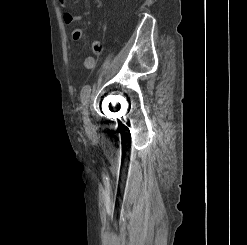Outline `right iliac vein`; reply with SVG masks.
Here are the masks:
<instances>
[{
    "label": "right iliac vein",
    "mask_w": 247,
    "mask_h": 245,
    "mask_svg": "<svg viewBox=\"0 0 247 245\" xmlns=\"http://www.w3.org/2000/svg\"><path fill=\"white\" fill-rule=\"evenodd\" d=\"M89 101L90 98L88 97L87 102L83 108V120L86 126H89L90 122H89V117H88V106H89Z\"/></svg>",
    "instance_id": "obj_1"
}]
</instances>
